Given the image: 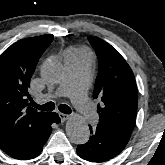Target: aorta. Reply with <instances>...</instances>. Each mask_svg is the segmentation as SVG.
Segmentation results:
<instances>
[{
  "label": "aorta",
  "mask_w": 165,
  "mask_h": 165,
  "mask_svg": "<svg viewBox=\"0 0 165 165\" xmlns=\"http://www.w3.org/2000/svg\"><path fill=\"white\" fill-rule=\"evenodd\" d=\"M64 75L63 66L56 61H47L42 65L41 77L48 83H58ZM66 133L75 144H84L88 141L90 130L87 121L74 115L66 123Z\"/></svg>",
  "instance_id": "762f6f07"
}]
</instances>
